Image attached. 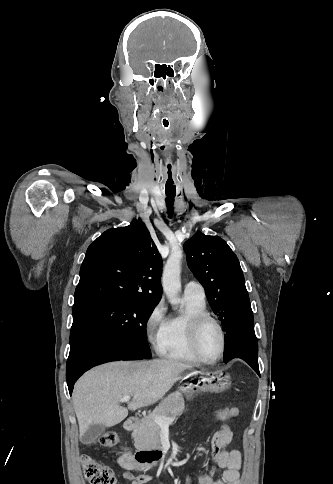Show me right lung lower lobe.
Segmentation results:
<instances>
[{
  "label": "right lung lower lobe",
  "mask_w": 333,
  "mask_h": 484,
  "mask_svg": "<svg viewBox=\"0 0 333 484\" xmlns=\"http://www.w3.org/2000/svg\"><path fill=\"white\" fill-rule=\"evenodd\" d=\"M144 359L123 339L85 314L73 317L66 378L71 395L76 380L91 367L113 360Z\"/></svg>",
  "instance_id": "1"
}]
</instances>
